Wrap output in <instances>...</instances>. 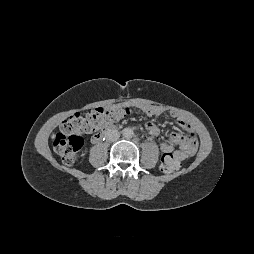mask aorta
Returning a JSON list of instances; mask_svg holds the SVG:
<instances>
[{"label": "aorta", "mask_w": 254, "mask_h": 254, "mask_svg": "<svg viewBox=\"0 0 254 254\" xmlns=\"http://www.w3.org/2000/svg\"><path fill=\"white\" fill-rule=\"evenodd\" d=\"M122 135L124 138L129 139L132 138L134 136V132L131 128H124L122 130Z\"/></svg>", "instance_id": "1"}]
</instances>
